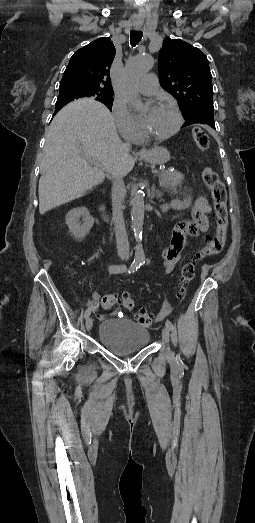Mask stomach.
I'll list each match as a JSON object with an SVG mask.
<instances>
[{
    "instance_id": "stomach-1",
    "label": "stomach",
    "mask_w": 255,
    "mask_h": 523,
    "mask_svg": "<svg viewBox=\"0 0 255 523\" xmlns=\"http://www.w3.org/2000/svg\"><path fill=\"white\" fill-rule=\"evenodd\" d=\"M140 158L149 162V164H154V166H161V164H166L169 160V152L166 148H161V146H155L152 150H142L140 152Z\"/></svg>"
}]
</instances>
